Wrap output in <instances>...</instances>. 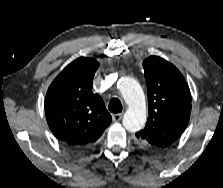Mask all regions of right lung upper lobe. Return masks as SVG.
<instances>
[{"mask_svg":"<svg viewBox=\"0 0 223 188\" xmlns=\"http://www.w3.org/2000/svg\"><path fill=\"white\" fill-rule=\"evenodd\" d=\"M99 65L93 58L80 57L60 72L47 91L48 125L70 148L88 149L112 121L102 98L92 92Z\"/></svg>","mask_w":223,"mask_h":188,"instance_id":"cb5924a9","label":"right lung upper lobe"}]
</instances>
